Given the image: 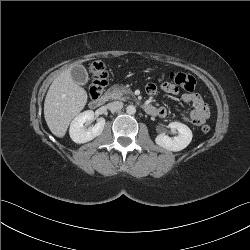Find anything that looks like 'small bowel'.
<instances>
[{
  "instance_id": "1",
  "label": "small bowel",
  "mask_w": 250,
  "mask_h": 250,
  "mask_svg": "<svg viewBox=\"0 0 250 250\" xmlns=\"http://www.w3.org/2000/svg\"><path fill=\"white\" fill-rule=\"evenodd\" d=\"M162 90L168 93L175 94L179 91L178 85H173L171 83H164L161 86ZM156 86L154 84H148L146 86V91L148 94H154L156 92ZM182 100L193 106V109L183 117L185 121H189L196 126L202 125L209 116V110L207 104L204 102L202 97L196 93H184L182 95ZM156 116L165 117L167 114V110L164 107H158Z\"/></svg>"
}]
</instances>
